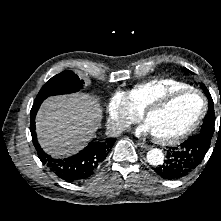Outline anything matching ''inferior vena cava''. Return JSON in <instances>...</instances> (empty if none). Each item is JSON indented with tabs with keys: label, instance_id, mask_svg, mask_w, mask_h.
I'll return each mask as SVG.
<instances>
[{
	"label": "inferior vena cava",
	"instance_id": "602c4592",
	"mask_svg": "<svg viewBox=\"0 0 221 221\" xmlns=\"http://www.w3.org/2000/svg\"><path fill=\"white\" fill-rule=\"evenodd\" d=\"M123 132L122 127L120 126H110L107 128L106 134L109 137H118Z\"/></svg>",
	"mask_w": 221,
	"mask_h": 221
}]
</instances>
